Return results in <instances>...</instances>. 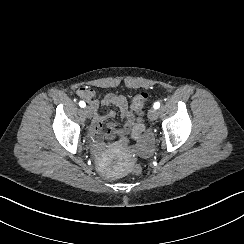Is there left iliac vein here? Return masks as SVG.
<instances>
[{
    "label": "left iliac vein",
    "instance_id": "left-iliac-vein-1",
    "mask_svg": "<svg viewBox=\"0 0 244 244\" xmlns=\"http://www.w3.org/2000/svg\"><path fill=\"white\" fill-rule=\"evenodd\" d=\"M148 118L152 121L156 120L158 118V111L156 109H150L148 111Z\"/></svg>",
    "mask_w": 244,
    "mask_h": 244
}]
</instances>
